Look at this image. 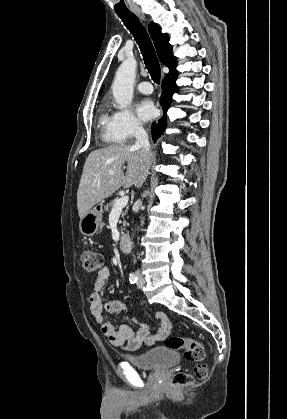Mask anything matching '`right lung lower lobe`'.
Wrapping results in <instances>:
<instances>
[{"mask_svg": "<svg viewBox=\"0 0 287 419\" xmlns=\"http://www.w3.org/2000/svg\"><path fill=\"white\" fill-rule=\"evenodd\" d=\"M176 72H172L164 78V81L162 83V96L160 99V104L162 106V109L164 110V114L165 112L168 110L171 100H172V95L174 94V92L177 90V86H176ZM166 128V117L165 115L159 120V124H152V138L153 141L156 142L157 138L160 137L161 134H163L164 130Z\"/></svg>", "mask_w": 287, "mask_h": 419, "instance_id": "right-lung-lower-lobe-1", "label": "right lung lower lobe"}]
</instances>
